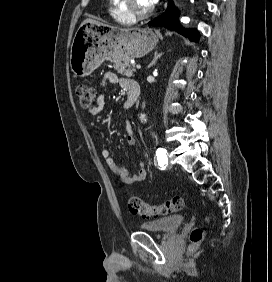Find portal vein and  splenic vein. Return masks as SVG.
Masks as SVG:
<instances>
[{"mask_svg":"<svg viewBox=\"0 0 272 282\" xmlns=\"http://www.w3.org/2000/svg\"><path fill=\"white\" fill-rule=\"evenodd\" d=\"M136 68H137V69H140V68H141V66H140L139 64H137V65H136Z\"/></svg>","mask_w":272,"mask_h":282,"instance_id":"obj_1","label":"portal vein and splenic vein"}]
</instances>
